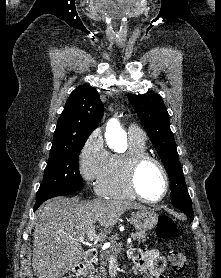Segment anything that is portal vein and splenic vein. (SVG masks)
<instances>
[{
    "instance_id": "1",
    "label": "portal vein and splenic vein",
    "mask_w": 221,
    "mask_h": 278,
    "mask_svg": "<svg viewBox=\"0 0 221 278\" xmlns=\"http://www.w3.org/2000/svg\"><path fill=\"white\" fill-rule=\"evenodd\" d=\"M87 238L89 241H94V242H99L101 241V236H98L96 234V231H95V227L92 226L90 227V229L88 230V233H87ZM84 240V237H80L79 238V241H83Z\"/></svg>"
}]
</instances>
